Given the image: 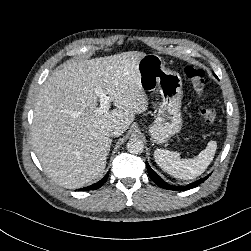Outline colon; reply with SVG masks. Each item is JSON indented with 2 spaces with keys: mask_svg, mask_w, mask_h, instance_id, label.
Masks as SVG:
<instances>
[{
  "mask_svg": "<svg viewBox=\"0 0 251 251\" xmlns=\"http://www.w3.org/2000/svg\"><path fill=\"white\" fill-rule=\"evenodd\" d=\"M185 75L193 86L195 93L200 99L205 97V72L200 68L187 66L185 68ZM200 115L204 122L213 123L217 119L216 110L208 105H202L200 108Z\"/></svg>",
  "mask_w": 251,
  "mask_h": 251,
  "instance_id": "1",
  "label": "colon"
}]
</instances>
